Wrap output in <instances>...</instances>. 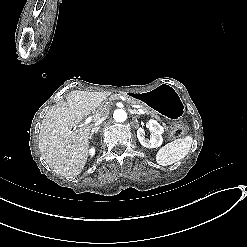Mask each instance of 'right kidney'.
<instances>
[{
	"mask_svg": "<svg viewBox=\"0 0 247 247\" xmlns=\"http://www.w3.org/2000/svg\"><path fill=\"white\" fill-rule=\"evenodd\" d=\"M89 155H90L91 157H93V156L95 155V148H94V147H91V148L89 149Z\"/></svg>",
	"mask_w": 247,
	"mask_h": 247,
	"instance_id": "ca27d5eb",
	"label": "right kidney"
}]
</instances>
